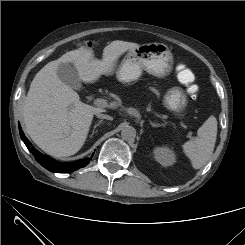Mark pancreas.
<instances>
[{
  "label": "pancreas",
  "instance_id": "1",
  "mask_svg": "<svg viewBox=\"0 0 245 245\" xmlns=\"http://www.w3.org/2000/svg\"><path fill=\"white\" fill-rule=\"evenodd\" d=\"M150 90L159 97L160 94L157 89H155L154 87H150Z\"/></svg>",
  "mask_w": 245,
  "mask_h": 245
}]
</instances>
